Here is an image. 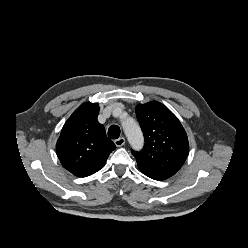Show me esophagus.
Listing matches in <instances>:
<instances>
[{"label":"esophagus","instance_id":"obj_1","mask_svg":"<svg viewBox=\"0 0 248 248\" xmlns=\"http://www.w3.org/2000/svg\"><path fill=\"white\" fill-rule=\"evenodd\" d=\"M125 141H126V140H125L124 137H120V138L114 140V143H115V145H116L117 147H121V146H123V145L125 144Z\"/></svg>","mask_w":248,"mask_h":248}]
</instances>
